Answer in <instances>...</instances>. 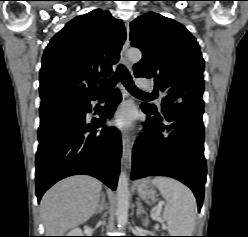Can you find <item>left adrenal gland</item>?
<instances>
[{
	"mask_svg": "<svg viewBox=\"0 0 248 237\" xmlns=\"http://www.w3.org/2000/svg\"><path fill=\"white\" fill-rule=\"evenodd\" d=\"M136 215H137L138 218H140L142 215H146V212L143 209L142 203H141V201H140L139 198L137 199V211H136ZM146 221H147L146 218L145 219H142V222L143 223L146 222Z\"/></svg>",
	"mask_w": 248,
	"mask_h": 237,
	"instance_id": "obj_1",
	"label": "left adrenal gland"
}]
</instances>
